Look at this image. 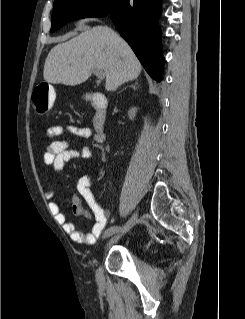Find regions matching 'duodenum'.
Returning a JSON list of instances; mask_svg holds the SVG:
<instances>
[{
    "instance_id": "410a0bca",
    "label": "duodenum",
    "mask_w": 245,
    "mask_h": 319,
    "mask_svg": "<svg viewBox=\"0 0 245 319\" xmlns=\"http://www.w3.org/2000/svg\"><path fill=\"white\" fill-rule=\"evenodd\" d=\"M88 101L95 110L92 118V125L96 133L95 139L102 143L105 139L107 99L103 94L94 92L88 96Z\"/></svg>"
}]
</instances>
